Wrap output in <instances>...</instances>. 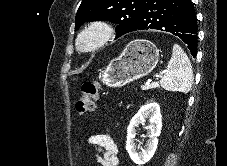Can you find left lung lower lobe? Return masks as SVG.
Segmentation results:
<instances>
[{"label":"left lung lower lobe","instance_id":"0a47b994","mask_svg":"<svg viewBox=\"0 0 227 166\" xmlns=\"http://www.w3.org/2000/svg\"><path fill=\"white\" fill-rule=\"evenodd\" d=\"M156 29L181 38L197 53V20L191 0H147L134 31Z\"/></svg>","mask_w":227,"mask_h":166}]
</instances>
